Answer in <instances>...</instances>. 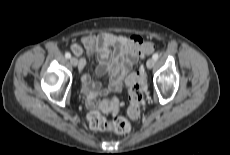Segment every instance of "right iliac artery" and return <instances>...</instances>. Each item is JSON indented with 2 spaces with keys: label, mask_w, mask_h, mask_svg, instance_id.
<instances>
[{
  "label": "right iliac artery",
  "mask_w": 230,
  "mask_h": 155,
  "mask_svg": "<svg viewBox=\"0 0 230 155\" xmlns=\"http://www.w3.org/2000/svg\"><path fill=\"white\" fill-rule=\"evenodd\" d=\"M65 57L69 59L71 57V54L69 52H67V53H65Z\"/></svg>",
  "instance_id": "obj_1"
}]
</instances>
